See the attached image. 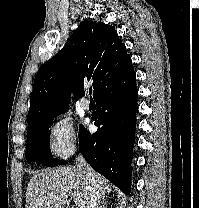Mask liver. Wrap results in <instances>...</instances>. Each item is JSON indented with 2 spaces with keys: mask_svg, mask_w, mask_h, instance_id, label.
I'll list each match as a JSON object with an SVG mask.
<instances>
[{
  "mask_svg": "<svg viewBox=\"0 0 199 208\" xmlns=\"http://www.w3.org/2000/svg\"><path fill=\"white\" fill-rule=\"evenodd\" d=\"M95 174L102 195L109 194L111 184L100 174ZM88 193V180L78 168L43 169L35 172L28 183L26 208H64L70 195L76 208H85Z\"/></svg>",
  "mask_w": 199,
  "mask_h": 208,
  "instance_id": "obj_1",
  "label": "liver"
}]
</instances>
